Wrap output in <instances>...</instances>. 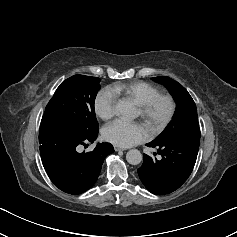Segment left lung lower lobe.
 I'll return each instance as SVG.
<instances>
[{
    "instance_id": "obj_1",
    "label": "left lung lower lobe",
    "mask_w": 237,
    "mask_h": 237,
    "mask_svg": "<svg viewBox=\"0 0 237 237\" xmlns=\"http://www.w3.org/2000/svg\"><path fill=\"white\" fill-rule=\"evenodd\" d=\"M199 143L194 141L148 143V147L158 148L161 159L144 154L138 175L145 187L157 195L168 194L178 189L193 170Z\"/></svg>"
}]
</instances>
